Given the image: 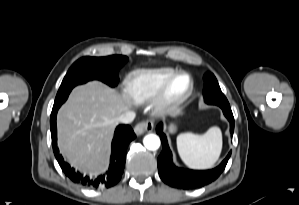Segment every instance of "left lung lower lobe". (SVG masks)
Segmentation results:
<instances>
[{
  "mask_svg": "<svg viewBox=\"0 0 299 205\" xmlns=\"http://www.w3.org/2000/svg\"><path fill=\"white\" fill-rule=\"evenodd\" d=\"M211 104L217 105L223 110L225 117L230 121V132L232 135L234 132V117L229 102L224 101ZM162 130L163 125L159 124L156 128V132L160 135L163 149L160 156L158 157V170L161 179L167 185L185 190L200 188L216 180L225 169L228 159L230 158L231 152L218 167L212 170L197 171L176 167L172 161V153L168 146L167 138Z\"/></svg>",
  "mask_w": 299,
  "mask_h": 205,
  "instance_id": "obj_1",
  "label": "left lung lower lobe"
}]
</instances>
